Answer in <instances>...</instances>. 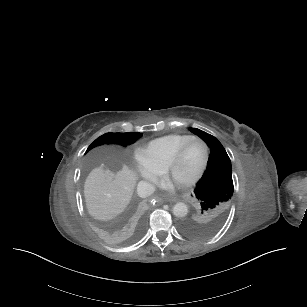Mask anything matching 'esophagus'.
<instances>
[{
  "mask_svg": "<svg viewBox=\"0 0 307 307\" xmlns=\"http://www.w3.org/2000/svg\"><path fill=\"white\" fill-rule=\"evenodd\" d=\"M155 199H156V204H157V205H161V204H163L164 201H165V200H164L163 198H161V197H156Z\"/></svg>",
  "mask_w": 307,
  "mask_h": 307,
  "instance_id": "esophagus-1",
  "label": "esophagus"
}]
</instances>
